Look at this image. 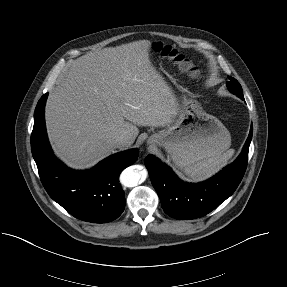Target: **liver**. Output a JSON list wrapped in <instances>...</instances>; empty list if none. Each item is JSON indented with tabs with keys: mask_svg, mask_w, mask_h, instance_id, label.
<instances>
[{
	"mask_svg": "<svg viewBox=\"0 0 287 287\" xmlns=\"http://www.w3.org/2000/svg\"><path fill=\"white\" fill-rule=\"evenodd\" d=\"M150 47L140 40L104 48L66 66L49 94L45 120L52 147L68 166L95 165L114 152L116 136H126L129 147L137 126L175 121L179 104L151 64Z\"/></svg>",
	"mask_w": 287,
	"mask_h": 287,
	"instance_id": "1",
	"label": "liver"
}]
</instances>
